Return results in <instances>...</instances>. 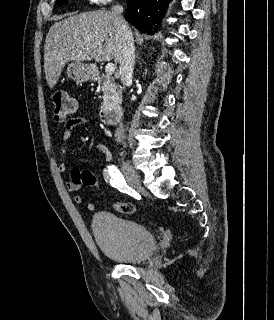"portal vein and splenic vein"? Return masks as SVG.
<instances>
[{
	"instance_id": "1",
	"label": "portal vein and splenic vein",
	"mask_w": 274,
	"mask_h": 320,
	"mask_svg": "<svg viewBox=\"0 0 274 320\" xmlns=\"http://www.w3.org/2000/svg\"><path fill=\"white\" fill-rule=\"evenodd\" d=\"M115 70H116L115 64H107V66H105L106 74H113V72H115Z\"/></svg>"
}]
</instances>
